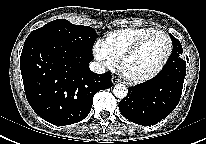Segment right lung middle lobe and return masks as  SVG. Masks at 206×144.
<instances>
[{"mask_svg":"<svg viewBox=\"0 0 206 144\" xmlns=\"http://www.w3.org/2000/svg\"><path fill=\"white\" fill-rule=\"evenodd\" d=\"M96 38V31L92 27L74 25L65 19H57L32 31L24 46L40 42L55 43L92 53Z\"/></svg>","mask_w":206,"mask_h":144,"instance_id":"1","label":"right lung middle lobe"}]
</instances>
